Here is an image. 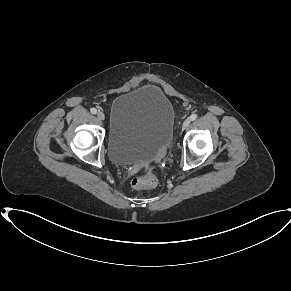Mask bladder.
I'll return each instance as SVG.
<instances>
[{
    "instance_id": "obj_1",
    "label": "bladder",
    "mask_w": 291,
    "mask_h": 291,
    "mask_svg": "<svg viewBox=\"0 0 291 291\" xmlns=\"http://www.w3.org/2000/svg\"><path fill=\"white\" fill-rule=\"evenodd\" d=\"M174 108L152 85H140L114 98L110 107L108 155L115 165L152 160L172 142Z\"/></svg>"
}]
</instances>
